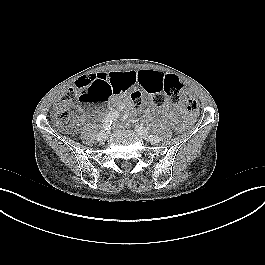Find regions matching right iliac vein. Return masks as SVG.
Listing matches in <instances>:
<instances>
[{
    "label": "right iliac vein",
    "mask_w": 265,
    "mask_h": 265,
    "mask_svg": "<svg viewBox=\"0 0 265 265\" xmlns=\"http://www.w3.org/2000/svg\"><path fill=\"white\" fill-rule=\"evenodd\" d=\"M107 138H108V133L104 130L100 131L97 135V140L99 142H104L107 140Z\"/></svg>",
    "instance_id": "right-iliac-vein-1"
}]
</instances>
